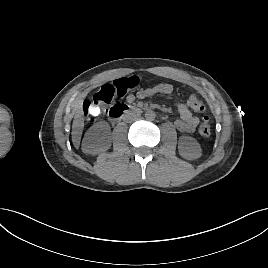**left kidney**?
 <instances>
[{"label": "left kidney", "mask_w": 268, "mask_h": 268, "mask_svg": "<svg viewBox=\"0 0 268 268\" xmlns=\"http://www.w3.org/2000/svg\"><path fill=\"white\" fill-rule=\"evenodd\" d=\"M178 151L179 154L187 160L198 159L202 155V149L198 141L186 135L179 138Z\"/></svg>", "instance_id": "obj_1"}]
</instances>
